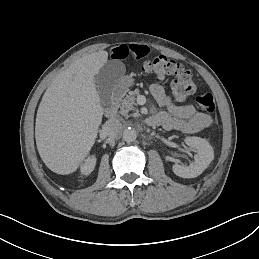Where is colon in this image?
I'll return each mask as SVG.
<instances>
[{"mask_svg":"<svg viewBox=\"0 0 259 259\" xmlns=\"http://www.w3.org/2000/svg\"><path fill=\"white\" fill-rule=\"evenodd\" d=\"M143 70L159 78H172V92L177 100H182L195 91V84L190 72L183 65L164 56H158L145 62ZM195 101L207 113L215 111L214 98L210 92L199 90Z\"/></svg>","mask_w":259,"mask_h":259,"instance_id":"5ec220e1","label":"colon"}]
</instances>
